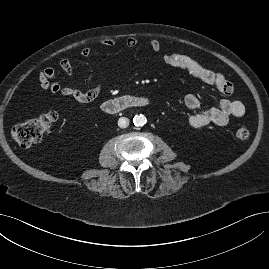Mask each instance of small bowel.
I'll return each mask as SVG.
<instances>
[{"label":"small bowel","mask_w":269,"mask_h":269,"mask_svg":"<svg viewBox=\"0 0 269 269\" xmlns=\"http://www.w3.org/2000/svg\"><path fill=\"white\" fill-rule=\"evenodd\" d=\"M137 43V39L133 37L128 38L125 42L128 48H134ZM102 44L112 47L116 45V41L114 39H105L102 41ZM149 48L154 52H159L162 49V45L158 40H151L149 42ZM81 54L84 58H90L92 55L91 47H84ZM162 60L168 66L184 70L197 80L215 86L224 95H231L234 91L232 83L223 74L202 66L196 60L183 53L167 52L163 55ZM60 66L67 76H73L74 68L68 58H62L60 60ZM38 79L43 90L72 98L79 103L94 101L101 94L103 88L101 84H98L87 91H82L71 86H61L55 80V70L52 67L42 70L39 73ZM183 103L186 108L191 110L198 108L200 105L199 98L195 94L186 95ZM245 112L246 107L243 102L223 98L216 107L190 116L188 124L193 128H202L209 124L226 126L232 117H242Z\"/></svg>","instance_id":"1"}]
</instances>
